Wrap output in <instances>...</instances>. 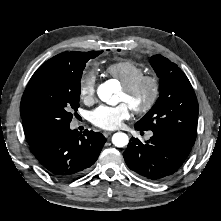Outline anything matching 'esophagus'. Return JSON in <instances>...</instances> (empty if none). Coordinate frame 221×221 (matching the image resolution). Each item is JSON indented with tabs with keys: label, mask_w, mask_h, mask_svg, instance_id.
Segmentation results:
<instances>
[{
	"label": "esophagus",
	"mask_w": 221,
	"mask_h": 221,
	"mask_svg": "<svg viewBox=\"0 0 221 221\" xmlns=\"http://www.w3.org/2000/svg\"><path fill=\"white\" fill-rule=\"evenodd\" d=\"M112 133H113L112 131H104V132H103V135H104L105 137H107V136L111 135Z\"/></svg>",
	"instance_id": "1"
}]
</instances>
